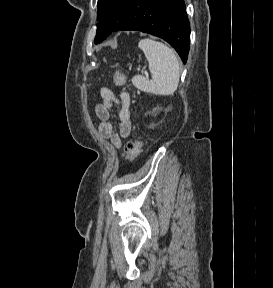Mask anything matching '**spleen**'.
Returning <instances> with one entry per match:
<instances>
[{
    "mask_svg": "<svg viewBox=\"0 0 273 288\" xmlns=\"http://www.w3.org/2000/svg\"><path fill=\"white\" fill-rule=\"evenodd\" d=\"M138 46L146 56L152 79L137 75L132 79L133 85L147 93L172 95L177 90L180 78L179 62L174 51L162 42L149 38L140 40Z\"/></svg>",
    "mask_w": 273,
    "mask_h": 288,
    "instance_id": "1",
    "label": "spleen"
}]
</instances>
